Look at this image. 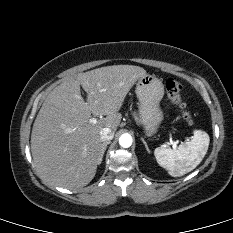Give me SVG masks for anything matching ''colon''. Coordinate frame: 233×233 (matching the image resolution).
I'll return each mask as SVG.
<instances>
[{"instance_id": "1", "label": "colon", "mask_w": 233, "mask_h": 233, "mask_svg": "<svg viewBox=\"0 0 233 233\" xmlns=\"http://www.w3.org/2000/svg\"><path fill=\"white\" fill-rule=\"evenodd\" d=\"M181 84L173 79L168 78L165 82V90L169 100L179 109L182 118L188 122L192 123L193 119L190 112L187 110L186 104L181 98Z\"/></svg>"}]
</instances>
